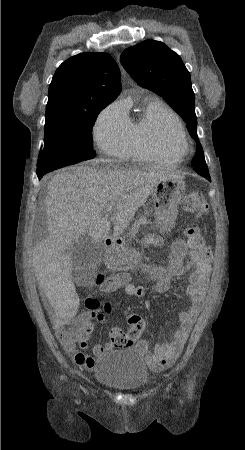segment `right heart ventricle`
Masks as SVG:
<instances>
[{"label": "right heart ventricle", "mask_w": 245, "mask_h": 450, "mask_svg": "<svg viewBox=\"0 0 245 450\" xmlns=\"http://www.w3.org/2000/svg\"><path fill=\"white\" fill-rule=\"evenodd\" d=\"M170 117L180 122L175 112L158 97L152 95L145 97L142 110L138 116L135 119L129 117L130 147L128 157L133 162L158 161L169 163L177 160L171 154L160 149L155 140L158 123Z\"/></svg>", "instance_id": "e07e8e85"}]
</instances>
